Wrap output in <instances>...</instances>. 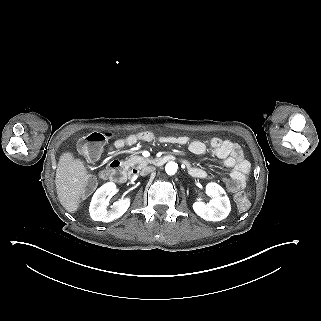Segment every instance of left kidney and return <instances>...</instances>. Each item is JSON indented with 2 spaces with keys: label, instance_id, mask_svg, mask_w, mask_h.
<instances>
[{
  "label": "left kidney",
  "instance_id": "1",
  "mask_svg": "<svg viewBox=\"0 0 321 321\" xmlns=\"http://www.w3.org/2000/svg\"><path fill=\"white\" fill-rule=\"evenodd\" d=\"M206 194L212 199L209 203L195 202L193 210L207 221H221L225 219L230 211L231 204L225 190L217 183L210 182L206 185Z\"/></svg>",
  "mask_w": 321,
  "mask_h": 321
}]
</instances>
